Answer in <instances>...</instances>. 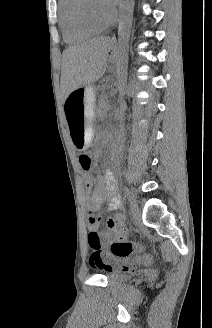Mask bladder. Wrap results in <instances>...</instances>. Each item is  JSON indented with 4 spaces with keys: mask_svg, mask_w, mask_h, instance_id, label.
<instances>
[{
    "mask_svg": "<svg viewBox=\"0 0 212 328\" xmlns=\"http://www.w3.org/2000/svg\"><path fill=\"white\" fill-rule=\"evenodd\" d=\"M106 277L112 282H122L129 279V275L118 271L105 272Z\"/></svg>",
    "mask_w": 212,
    "mask_h": 328,
    "instance_id": "obj_1",
    "label": "bladder"
}]
</instances>
